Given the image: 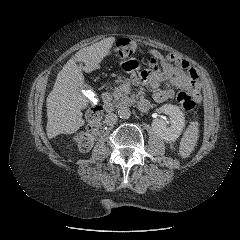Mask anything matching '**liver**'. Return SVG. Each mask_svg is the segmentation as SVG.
<instances>
[{
    "label": "liver",
    "instance_id": "6515ba94",
    "mask_svg": "<svg viewBox=\"0 0 240 240\" xmlns=\"http://www.w3.org/2000/svg\"><path fill=\"white\" fill-rule=\"evenodd\" d=\"M114 41V37H109L80 49L57 74L46 100V131L49 139L59 134H73L84 125L81 110L86 106V98L80 92L84 86V76L76 63L83 62L87 73L98 69L101 61L111 54Z\"/></svg>",
    "mask_w": 240,
    "mask_h": 240
}]
</instances>
